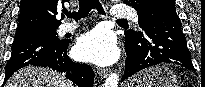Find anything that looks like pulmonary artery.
<instances>
[{"label":"pulmonary artery","mask_w":205,"mask_h":87,"mask_svg":"<svg viewBox=\"0 0 205 87\" xmlns=\"http://www.w3.org/2000/svg\"><path fill=\"white\" fill-rule=\"evenodd\" d=\"M111 16L114 18H130L135 23H138V21H139V17H138L136 12H134L130 8L125 7L121 4L114 5V7L112 8V11H111ZM78 26L79 25L75 24V23H63L59 27V32L60 33L71 32V31L77 29Z\"/></svg>","instance_id":"pulmonary-artery-1"}]
</instances>
